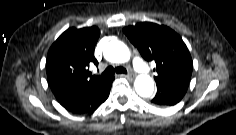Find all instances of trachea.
Returning a JSON list of instances; mask_svg holds the SVG:
<instances>
[{"label": "trachea", "mask_w": 236, "mask_h": 135, "mask_svg": "<svg viewBox=\"0 0 236 135\" xmlns=\"http://www.w3.org/2000/svg\"><path fill=\"white\" fill-rule=\"evenodd\" d=\"M117 73V74H126L127 73V70L123 67H112V66H109L105 69V71L102 73L103 76H110V75H113L114 73Z\"/></svg>", "instance_id": "obj_1"}]
</instances>
